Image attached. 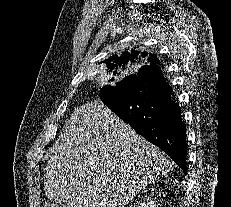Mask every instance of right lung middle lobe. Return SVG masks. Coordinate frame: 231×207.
Here are the masks:
<instances>
[{"label":"right lung middle lobe","mask_w":231,"mask_h":207,"mask_svg":"<svg viewBox=\"0 0 231 207\" xmlns=\"http://www.w3.org/2000/svg\"><path fill=\"white\" fill-rule=\"evenodd\" d=\"M119 83L120 82H118L117 84H116V86H118L119 85ZM114 87L115 86H105V87H103L102 89H101V91H100V96H102L103 95V93L105 92V91H108L109 89H114Z\"/></svg>","instance_id":"obj_1"}]
</instances>
